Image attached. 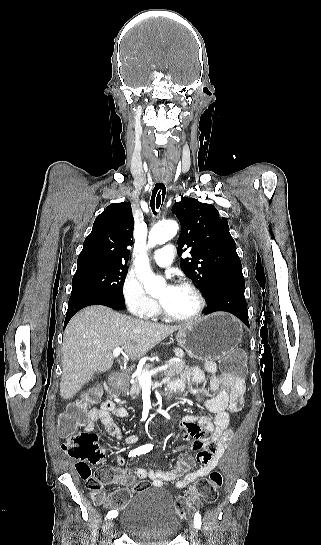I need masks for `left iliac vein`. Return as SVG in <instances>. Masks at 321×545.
<instances>
[{"label":"left iliac vein","instance_id":"4c4485c4","mask_svg":"<svg viewBox=\"0 0 321 545\" xmlns=\"http://www.w3.org/2000/svg\"><path fill=\"white\" fill-rule=\"evenodd\" d=\"M189 528H190L191 533L193 535H196V527H195V524L193 523V521H190Z\"/></svg>","mask_w":321,"mask_h":545}]
</instances>
